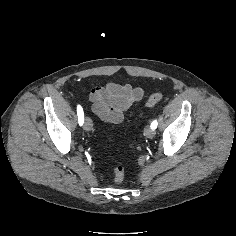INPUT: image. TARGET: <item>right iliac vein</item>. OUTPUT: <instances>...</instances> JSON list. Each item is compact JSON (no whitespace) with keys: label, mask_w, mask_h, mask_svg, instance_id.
Listing matches in <instances>:
<instances>
[{"label":"right iliac vein","mask_w":236,"mask_h":236,"mask_svg":"<svg viewBox=\"0 0 236 236\" xmlns=\"http://www.w3.org/2000/svg\"><path fill=\"white\" fill-rule=\"evenodd\" d=\"M83 127L86 131H90L92 129L93 123H92V120L89 117L85 118Z\"/></svg>","instance_id":"63e3f726"}]
</instances>
